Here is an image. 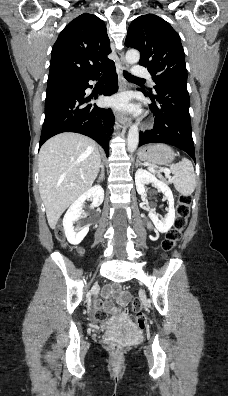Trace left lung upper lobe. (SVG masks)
Returning a JSON list of instances; mask_svg holds the SVG:
<instances>
[{
    "label": "left lung upper lobe",
    "instance_id": "obj_1",
    "mask_svg": "<svg viewBox=\"0 0 228 396\" xmlns=\"http://www.w3.org/2000/svg\"><path fill=\"white\" fill-rule=\"evenodd\" d=\"M127 47L140 51L139 65L146 66L158 85L187 84L184 50L178 33L162 18L141 15L132 21L125 40Z\"/></svg>",
    "mask_w": 228,
    "mask_h": 396
}]
</instances>
